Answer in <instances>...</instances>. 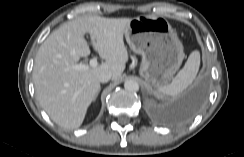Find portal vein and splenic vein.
<instances>
[{
    "mask_svg": "<svg viewBox=\"0 0 244 157\" xmlns=\"http://www.w3.org/2000/svg\"><path fill=\"white\" fill-rule=\"evenodd\" d=\"M89 65H90V67H96L97 59L96 58L91 59ZM88 68H89V66L85 65V64H77V65L73 66V69H75V70H87Z\"/></svg>",
    "mask_w": 244,
    "mask_h": 157,
    "instance_id": "obj_1",
    "label": "portal vein and splenic vein"
}]
</instances>
